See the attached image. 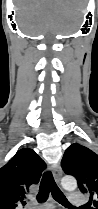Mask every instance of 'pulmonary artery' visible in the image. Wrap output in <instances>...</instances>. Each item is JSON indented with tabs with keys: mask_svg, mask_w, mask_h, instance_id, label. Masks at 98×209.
Returning <instances> with one entry per match:
<instances>
[{
	"mask_svg": "<svg viewBox=\"0 0 98 209\" xmlns=\"http://www.w3.org/2000/svg\"><path fill=\"white\" fill-rule=\"evenodd\" d=\"M69 202L70 204L74 206H79L84 204L85 202V197L80 194L79 192H72L69 195ZM28 209H53V206L51 205H42L40 207H29Z\"/></svg>",
	"mask_w": 98,
	"mask_h": 209,
	"instance_id": "e3ab8cb5",
	"label": "pulmonary artery"
}]
</instances>
